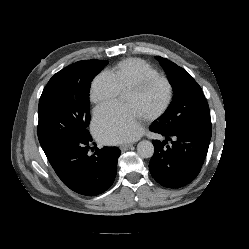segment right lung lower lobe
Wrapping results in <instances>:
<instances>
[{"label": "right lung lower lobe", "instance_id": "98d812e1", "mask_svg": "<svg viewBox=\"0 0 249 249\" xmlns=\"http://www.w3.org/2000/svg\"><path fill=\"white\" fill-rule=\"evenodd\" d=\"M91 141V136L65 138L43 149L63 183L86 196L101 194L112 185L121 154L117 147H104L89 155Z\"/></svg>", "mask_w": 249, "mask_h": 249}]
</instances>
